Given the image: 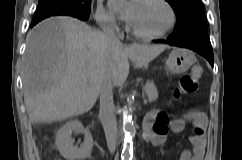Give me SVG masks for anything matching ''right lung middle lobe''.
<instances>
[{
    "mask_svg": "<svg viewBox=\"0 0 242 160\" xmlns=\"http://www.w3.org/2000/svg\"><path fill=\"white\" fill-rule=\"evenodd\" d=\"M92 0H39L32 23L49 16L66 15L87 20Z\"/></svg>",
    "mask_w": 242,
    "mask_h": 160,
    "instance_id": "right-lung-middle-lobe-1",
    "label": "right lung middle lobe"
}]
</instances>
